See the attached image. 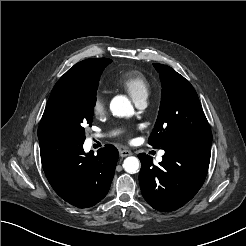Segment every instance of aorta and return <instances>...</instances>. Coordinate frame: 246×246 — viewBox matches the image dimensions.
<instances>
[{
	"instance_id": "obj_1",
	"label": "aorta",
	"mask_w": 246,
	"mask_h": 246,
	"mask_svg": "<svg viewBox=\"0 0 246 246\" xmlns=\"http://www.w3.org/2000/svg\"><path fill=\"white\" fill-rule=\"evenodd\" d=\"M110 109L113 115L118 117H130L134 113L131 102L125 96L114 97L110 103ZM139 167V159L134 156L127 157L123 162V168L129 174L137 173Z\"/></svg>"
}]
</instances>
